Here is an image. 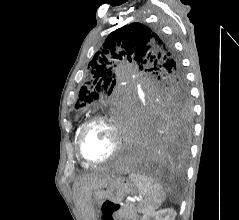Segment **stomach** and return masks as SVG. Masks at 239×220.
I'll list each match as a JSON object with an SVG mask.
<instances>
[{"label":"stomach","mask_w":239,"mask_h":220,"mask_svg":"<svg viewBox=\"0 0 239 220\" xmlns=\"http://www.w3.org/2000/svg\"><path fill=\"white\" fill-rule=\"evenodd\" d=\"M137 187L126 178L113 176L103 187L92 192V203L97 205L98 220H123L122 205H118L127 195H136Z\"/></svg>","instance_id":"obj_1"}]
</instances>
